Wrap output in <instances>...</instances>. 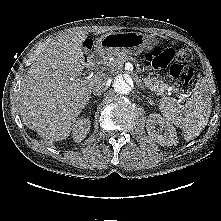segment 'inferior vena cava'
I'll return each mask as SVG.
<instances>
[{"label": "inferior vena cava", "mask_w": 221, "mask_h": 221, "mask_svg": "<svg viewBox=\"0 0 221 221\" xmlns=\"http://www.w3.org/2000/svg\"><path fill=\"white\" fill-rule=\"evenodd\" d=\"M106 82H107V76L101 77L98 82L95 83V85L92 88V93L95 96L101 95L106 90Z\"/></svg>", "instance_id": "1"}]
</instances>
